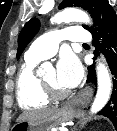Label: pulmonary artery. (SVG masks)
Returning <instances> with one entry per match:
<instances>
[{
	"instance_id": "e3ab8cb5",
	"label": "pulmonary artery",
	"mask_w": 117,
	"mask_h": 131,
	"mask_svg": "<svg viewBox=\"0 0 117 131\" xmlns=\"http://www.w3.org/2000/svg\"><path fill=\"white\" fill-rule=\"evenodd\" d=\"M64 40L88 43L91 40V35L81 26L51 31L37 38L26 52L25 57L39 60L50 58L56 53L59 43Z\"/></svg>"
}]
</instances>
